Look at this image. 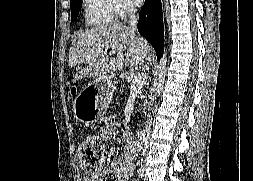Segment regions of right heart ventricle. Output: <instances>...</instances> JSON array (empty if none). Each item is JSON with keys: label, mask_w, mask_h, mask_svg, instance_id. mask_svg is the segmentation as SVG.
I'll list each match as a JSON object with an SVG mask.
<instances>
[{"label": "right heart ventricle", "mask_w": 253, "mask_h": 181, "mask_svg": "<svg viewBox=\"0 0 253 181\" xmlns=\"http://www.w3.org/2000/svg\"><path fill=\"white\" fill-rule=\"evenodd\" d=\"M112 0H83V16L86 26H105L113 22Z\"/></svg>", "instance_id": "e07e8e85"}]
</instances>
